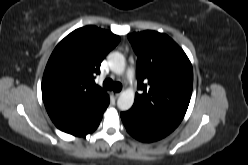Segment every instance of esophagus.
<instances>
[{"mask_svg":"<svg viewBox=\"0 0 248 165\" xmlns=\"http://www.w3.org/2000/svg\"><path fill=\"white\" fill-rule=\"evenodd\" d=\"M120 95H121V92H116V93H114V97H115V98H118Z\"/></svg>","mask_w":248,"mask_h":165,"instance_id":"1","label":"esophagus"}]
</instances>
